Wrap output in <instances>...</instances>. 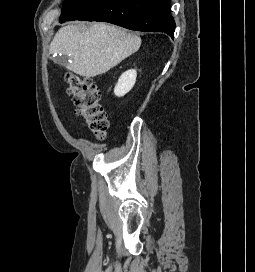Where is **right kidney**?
Listing matches in <instances>:
<instances>
[{
  "label": "right kidney",
  "instance_id": "ca27d5eb",
  "mask_svg": "<svg viewBox=\"0 0 255 272\" xmlns=\"http://www.w3.org/2000/svg\"><path fill=\"white\" fill-rule=\"evenodd\" d=\"M137 72L134 69H130L124 72L118 79V83L115 86L114 94L117 97H122L128 93L136 82Z\"/></svg>",
  "mask_w": 255,
  "mask_h": 272
}]
</instances>
